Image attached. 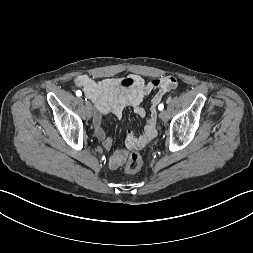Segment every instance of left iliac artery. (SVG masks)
Instances as JSON below:
<instances>
[{
  "label": "left iliac artery",
  "mask_w": 253,
  "mask_h": 253,
  "mask_svg": "<svg viewBox=\"0 0 253 253\" xmlns=\"http://www.w3.org/2000/svg\"><path fill=\"white\" fill-rule=\"evenodd\" d=\"M163 108H164V105L163 104H160L159 106H158V109L161 111V110H163Z\"/></svg>",
  "instance_id": "left-iliac-artery-1"
}]
</instances>
